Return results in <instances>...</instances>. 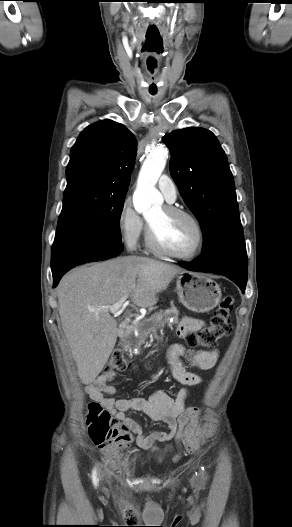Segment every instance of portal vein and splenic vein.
<instances>
[{
	"label": "portal vein and splenic vein",
	"mask_w": 292,
	"mask_h": 527,
	"mask_svg": "<svg viewBox=\"0 0 292 527\" xmlns=\"http://www.w3.org/2000/svg\"><path fill=\"white\" fill-rule=\"evenodd\" d=\"M128 296L125 295L123 296L118 302H116L115 304L109 306V307H106L105 309H103L104 312H110L112 314H119L121 311H122V306L124 305V303L126 302Z\"/></svg>",
	"instance_id": "18ae733b"
}]
</instances>
